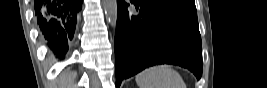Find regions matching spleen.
Returning a JSON list of instances; mask_svg holds the SVG:
<instances>
[{"label": "spleen", "mask_w": 267, "mask_h": 88, "mask_svg": "<svg viewBox=\"0 0 267 88\" xmlns=\"http://www.w3.org/2000/svg\"><path fill=\"white\" fill-rule=\"evenodd\" d=\"M139 88H186L180 74L168 65L145 69L135 77Z\"/></svg>", "instance_id": "1"}]
</instances>
